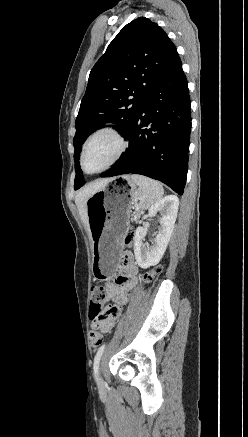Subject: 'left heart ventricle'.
Segmentation results:
<instances>
[{"mask_svg":"<svg viewBox=\"0 0 248 437\" xmlns=\"http://www.w3.org/2000/svg\"><path fill=\"white\" fill-rule=\"evenodd\" d=\"M118 148V141L110 134H101L92 139L85 152L86 170L92 172L106 165Z\"/></svg>","mask_w":248,"mask_h":437,"instance_id":"left-heart-ventricle-1","label":"left heart ventricle"}]
</instances>
